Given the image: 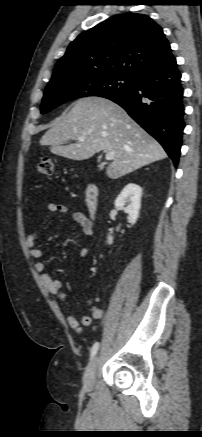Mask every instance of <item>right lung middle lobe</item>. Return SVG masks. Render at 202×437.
<instances>
[{
	"instance_id": "dd1d6c3e",
	"label": "right lung middle lobe",
	"mask_w": 202,
	"mask_h": 437,
	"mask_svg": "<svg viewBox=\"0 0 202 437\" xmlns=\"http://www.w3.org/2000/svg\"><path fill=\"white\" fill-rule=\"evenodd\" d=\"M134 80V77L120 73L66 76L51 80L44 92L41 113H47L62 103L80 97L109 98L128 91Z\"/></svg>"
}]
</instances>
